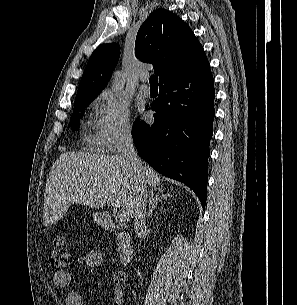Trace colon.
Here are the masks:
<instances>
[{
    "mask_svg": "<svg viewBox=\"0 0 297 305\" xmlns=\"http://www.w3.org/2000/svg\"><path fill=\"white\" fill-rule=\"evenodd\" d=\"M51 262L55 269L69 268L74 264V257L69 252L66 240L58 237L51 247Z\"/></svg>",
    "mask_w": 297,
    "mask_h": 305,
    "instance_id": "5ec220e1",
    "label": "colon"
}]
</instances>
